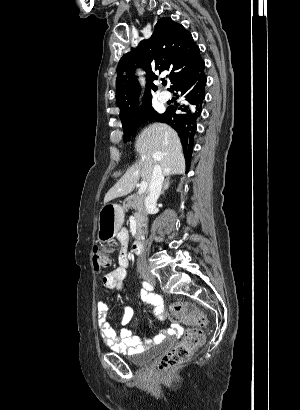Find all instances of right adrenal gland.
<instances>
[{"label": "right adrenal gland", "instance_id": "1", "mask_svg": "<svg viewBox=\"0 0 300 410\" xmlns=\"http://www.w3.org/2000/svg\"><path fill=\"white\" fill-rule=\"evenodd\" d=\"M169 186H170V177H167V178L165 179L164 184H163L162 191H161V195L164 194V192L169 188Z\"/></svg>", "mask_w": 300, "mask_h": 410}]
</instances>
